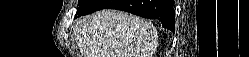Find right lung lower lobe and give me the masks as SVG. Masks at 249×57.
<instances>
[{
    "instance_id": "98d812e1",
    "label": "right lung lower lobe",
    "mask_w": 249,
    "mask_h": 57,
    "mask_svg": "<svg viewBox=\"0 0 249 57\" xmlns=\"http://www.w3.org/2000/svg\"><path fill=\"white\" fill-rule=\"evenodd\" d=\"M173 4V0H91L86 8L77 10L76 17L104 8L118 9L144 18L157 19L162 23L163 28L174 31L175 12Z\"/></svg>"
}]
</instances>
